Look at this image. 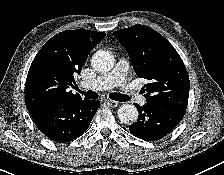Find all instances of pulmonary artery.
<instances>
[{
  "label": "pulmonary artery",
  "mask_w": 224,
  "mask_h": 175,
  "mask_svg": "<svg viewBox=\"0 0 224 175\" xmlns=\"http://www.w3.org/2000/svg\"><path fill=\"white\" fill-rule=\"evenodd\" d=\"M128 70V61L121 58L109 73L90 81H83L80 83V86L84 89L91 90H107L119 86L125 94L130 96L133 95V92L132 88L127 83ZM137 100L142 104L145 103V99L141 96H137Z\"/></svg>",
  "instance_id": "obj_1"
}]
</instances>
